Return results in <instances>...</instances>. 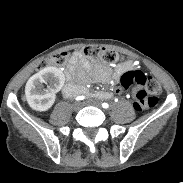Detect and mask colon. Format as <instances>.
Returning <instances> with one entry per match:
<instances>
[{
    "mask_svg": "<svg viewBox=\"0 0 183 183\" xmlns=\"http://www.w3.org/2000/svg\"><path fill=\"white\" fill-rule=\"evenodd\" d=\"M83 54L93 62H102L107 65L116 63L121 59L116 52L95 45L84 47ZM69 59V53L59 52L42 60L38 64L37 69L43 70L50 66L64 65ZM133 85L140 86L134 101V107L137 111H147L156 107L162 87L156 79L146 77L139 71H127L123 73L119 78V86L114 89V94L117 97H122L126 90Z\"/></svg>",
    "mask_w": 183,
    "mask_h": 183,
    "instance_id": "obj_1",
    "label": "colon"
}]
</instances>
